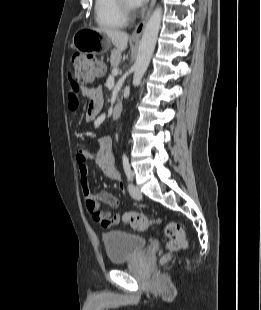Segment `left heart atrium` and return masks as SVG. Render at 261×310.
Wrapping results in <instances>:
<instances>
[{"instance_id":"1","label":"left heart atrium","mask_w":261,"mask_h":310,"mask_svg":"<svg viewBox=\"0 0 261 310\" xmlns=\"http://www.w3.org/2000/svg\"><path fill=\"white\" fill-rule=\"evenodd\" d=\"M148 0H129V3L134 8H139L144 6Z\"/></svg>"}]
</instances>
